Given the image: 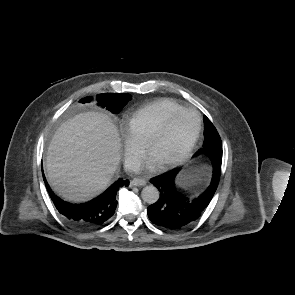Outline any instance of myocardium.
<instances>
[{
    "label": "myocardium",
    "instance_id": "myocardium-1",
    "mask_svg": "<svg viewBox=\"0 0 295 295\" xmlns=\"http://www.w3.org/2000/svg\"><path fill=\"white\" fill-rule=\"evenodd\" d=\"M183 114H191L195 117V130L194 133L192 135V137L190 138L188 144L186 145V147L184 148V150L175 158H173L172 160H169L167 162H164L162 164L159 165L160 169H169L172 167H175L179 164H181L182 162H184L193 152L197 141L199 139L200 136V132H201V119L199 114L192 110V109H188V108H183L179 111H176L175 113H173L172 115H170L165 122L158 128V130L150 137V139L147 141L146 143V152L148 155H150L151 150L153 149V147L161 140V138L166 134V132L169 130V128L171 127L173 121L180 115Z\"/></svg>",
    "mask_w": 295,
    "mask_h": 295
}]
</instances>
